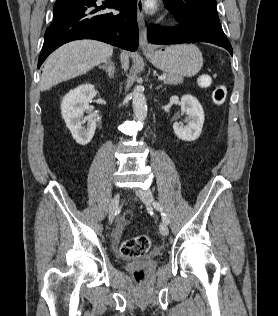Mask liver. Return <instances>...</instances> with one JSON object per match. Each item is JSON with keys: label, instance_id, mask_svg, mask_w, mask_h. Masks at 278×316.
Returning a JSON list of instances; mask_svg holds the SVG:
<instances>
[{"label": "liver", "instance_id": "liver-1", "mask_svg": "<svg viewBox=\"0 0 278 316\" xmlns=\"http://www.w3.org/2000/svg\"><path fill=\"white\" fill-rule=\"evenodd\" d=\"M113 47L109 44L84 39L67 43L54 51L45 61L40 89L45 91L63 81L83 75L112 55ZM124 70L129 67L128 55L121 54Z\"/></svg>", "mask_w": 278, "mask_h": 316}]
</instances>
